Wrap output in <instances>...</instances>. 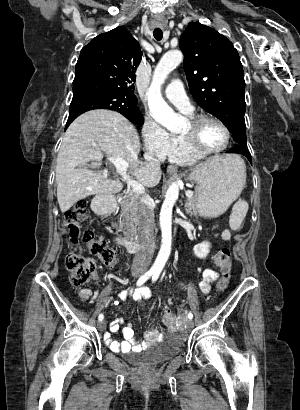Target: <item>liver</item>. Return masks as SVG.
<instances>
[{"mask_svg": "<svg viewBox=\"0 0 300 410\" xmlns=\"http://www.w3.org/2000/svg\"><path fill=\"white\" fill-rule=\"evenodd\" d=\"M140 140L134 126L121 114L92 110L80 115L68 127L57 157V200L62 213L89 195L113 194L122 183L107 179L98 171L77 168L92 162L99 167L103 155L124 160L142 186L152 188L161 180V170L138 160ZM234 155L216 156L200 165L232 160Z\"/></svg>", "mask_w": 300, "mask_h": 410, "instance_id": "6515ba94", "label": "liver"}]
</instances>
